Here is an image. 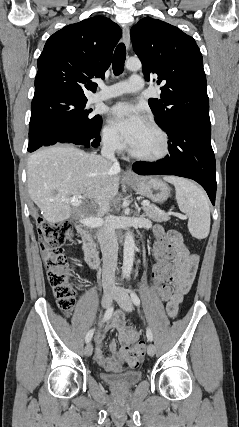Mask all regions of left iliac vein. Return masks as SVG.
<instances>
[{
    "mask_svg": "<svg viewBox=\"0 0 239 427\" xmlns=\"http://www.w3.org/2000/svg\"><path fill=\"white\" fill-rule=\"evenodd\" d=\"M114 299L119 304V306L126 312L132 311L133 304H132L131 298L123 287L119 286L115 289ZM155 352H156L155 345L150 343L147 347L148 355L154 356Z\"/></svg>",
    "mask_w": 239,
    "mask_h": 427,
    "instance_id": "1",
    "label": "left iliac vein"
}]
</instances>
